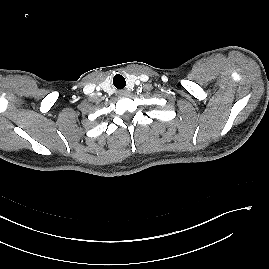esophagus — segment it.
Masks as SVG:
<instances>
[{"mask_svg": "<svg viewBox=\"0 0 269 269\" xmlns=\"http://www.w3.org/2000/svg\"><path fill=\"white\" fill-rule=\"evenodd\" d=\"M126 94H127L126 91H122V92H120V95H122V96H125Z\"/></svg>", "mask_w": 269, "mask_h": 269, "instance_id": "34e87169", "label": "esophagus"}]
</instances>
